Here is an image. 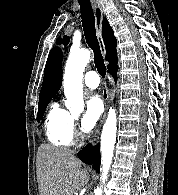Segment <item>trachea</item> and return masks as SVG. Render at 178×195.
I'll list each match as a JSON object with an SVG mask.
<instances>
[{
  "label": "trachea",
  "mask_w": 178,
  "mask_h": 195,
  "mask_svg": "<svg viewBox=\"0 0 178 195\" xmlns=\"http://www.w3.org/2000/svg\"><path fill=\"white\" fill-rule=\"evenodd\" d=\"M78 2L80 5V17L86 42L93 50L95 67L97 68L98 73L104 78L106 75V66L96 36L95 17L90 0H78Z\"/></svg>",
  "instance_id": "1"
}]
</instances>
